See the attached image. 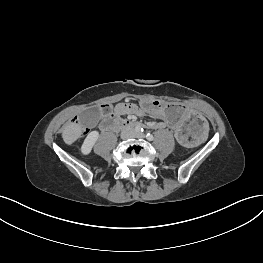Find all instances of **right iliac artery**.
Listing matches in <instances>:
<instances>
[{"label": "right iliac artery", "mask_w": 263, "mask_h": 263, "mask_svg": "<svg viewBox=\"0 0 263 263\" xmlns=\"http://www.w3.org/2000/svg\"><path fill=\"white\" fill-rule=\"evenodd\" d=\"M137 132H143V128L141 126L136 127Z\"/></svg>", "instance_id": "82829eb1"}]
</instances>
